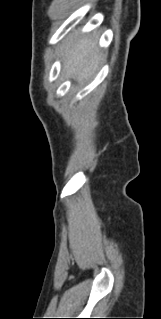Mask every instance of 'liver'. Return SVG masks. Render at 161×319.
I'll use <instances>...</instances> for the list:
<instances>
[{
  "instance_id": "6515ba94",
  "label": "liver",
  "mask_w": 161,
  "mask_h": 319,
  "mask_svg": "<svg viewBox=\"0 0 161 319\" xmlns=\"http://www.w3.org/2000/svg\"><path fill=\"white\" fill-rule=\"evenodd\" d=\"M94 36L74 38L64 48L63 70L79 83L91 79L102 59V53L96 48Z\"/></svg>"
}]
</instances>
